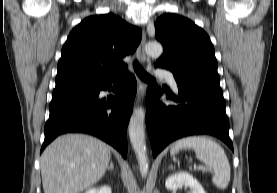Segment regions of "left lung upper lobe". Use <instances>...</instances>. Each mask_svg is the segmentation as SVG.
<instances>
[{"instance_id":"obj_1","label":"left lung upper lobe","mask_w":277,"mask_h":193,"mask_svg":"<svg viewBox=\"0 0 277 193\" xmlns=\"http://www.w3.org/2000/svg\"><path fill=\"white\" fill-rule=\"evenodd\" d=\"M155 37L164 47L156 66L169 69L177 83L219 82L214 47L208 35L191 20L167 13L155 23Z\"/></svg>"}]
</instances>
